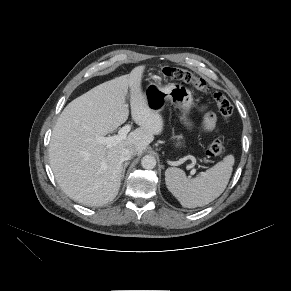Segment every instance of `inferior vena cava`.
<instances>
[{
  "label": "inferior vena cava",
  "instance_id": "inferior-vena-cava-1",
  "mask_svg": "<svg viewBox=\"0 0 291 291\" xmlns=\"http://www.w3.org/2000/svg\"><path fill=\"white\" fill-rule=\"evenodd\" d=\"M136 155V151L133 148H125L123 149L120 159L121 161H126L132 159Z\"/></svg>",
  "mask_w": 291,
  "mask_h": 291
}]
</instances>
